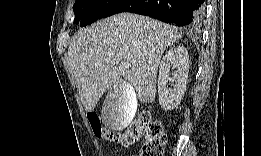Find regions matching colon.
<instances>
[{
    "instance_id": "1",
    "label": "colon",
    "mask_w": 261,
    "mask_h": 156,
    "mask_svg": "<svg viewBox=\"0 0 261 156\" xmlns=\"http://www.w3.org/2000/svg\"><path fill=\"white\" fill-rule=\"evenodd\" d=\"M94 133L106 141L124 148H129L139 143L142 137L145 141L141 148L143 156H161L166 141L163 125L154 120L149 112H142L137 120L128 128L121 131L110 130L104 127L94 114L90 116Z\"/></svg>"
}]
</instances>
